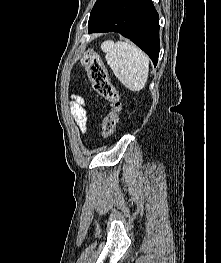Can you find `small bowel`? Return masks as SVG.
I'll return each instance as SVG.
<instances>
[{
	"mask_svg": "<svg viewBox=\"0 0 221 263\" xmlns=\"http://www.w3.org/2000/svg\"><path fill=\"white\" fill-rule=\"evenodd\" d=\"M75 101L72 104V114L76 119L80 130L84 133L86 131V111L84 108V101L79 97L75 96Z\"/></svg>",
	"mask_w": 221,
	"mask_h": 263,
	"instance_id": "small-bowel-1",
	"label": "small bowel"
}]
</instances>
